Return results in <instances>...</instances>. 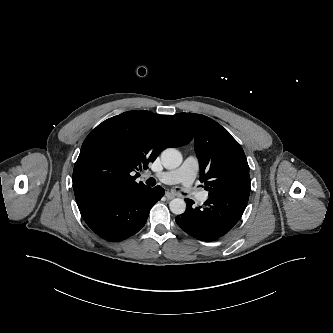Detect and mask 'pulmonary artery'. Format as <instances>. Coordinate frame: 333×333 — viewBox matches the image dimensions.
<instances>
[{"label":"pulmonary artery","instance_id":"obj_1","mask_svg":"<svg viewBox=\"0 0 333 333\" xmlns=\"http://www.w3.org/2000/svg\"><path fill=\"white\" fill-rule=\"evenodd\" d=\"M198 169L199 163L197 158L188 156L180 167L157 173L155 177L165 184L182 183L186 188H189L195 180ZM196 195L200 201H205L208 198L207 191L199 192Z\"/></svg>","mask_w":333,"mask_h":333}]
</instances>
